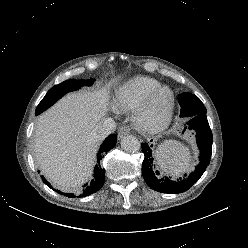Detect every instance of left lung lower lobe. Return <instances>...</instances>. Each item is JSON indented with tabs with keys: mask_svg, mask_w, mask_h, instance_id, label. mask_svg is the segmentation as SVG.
I'll return each instance as SVG.
<instances>
[{
	"mask_svg": "<svg viewBox=\"0 0 248 248\" xmlns=\"http://www.w3.org/2000/svg\"><path fill=\"white\" fill-rule=\"evenodd\" d=\"M187 125L189 130H194L196 132L197 144L200 149V163L196 166L195 171L186 179L173 181L168 177L160 178L159 172L155 170V165L153 163L154 158L150 147L147 143L142 144V150L145 156L142 163V175L146 184L153 190L172 194L185 192L202 176L209 165L213 137L206 113L192 115L191 119L187 122ZM186 128L187 127H185L184 130H186Z\"/></svg>",
	"mask_w": 248,
	"mask_h": 248,
	"instance_id": "obj_1",
	"label": "left lung lower lobe"
}]
</instances>
